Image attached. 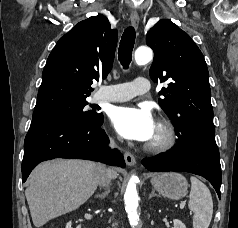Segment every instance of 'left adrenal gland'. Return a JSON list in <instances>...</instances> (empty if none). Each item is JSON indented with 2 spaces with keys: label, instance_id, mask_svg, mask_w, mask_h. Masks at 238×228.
Returning <instances> with one entry per match:
<instances>
[{
  "label": "left adrenal gland",
  "instance_id": "a2214340",
  "mask_svg": "<svg viewBox=\"0 0 238 228\" xmlns=\"http://www.w3.org/2000/svg\"><path fill=\"white\" fill-rule=\"evenodd\" d=\"M154 196H157V194H155V190H152L150 195H149V199H151Z\"/></svg>",
  "mask_w": 238,
  "mask_h": 228
}]
</instances>
